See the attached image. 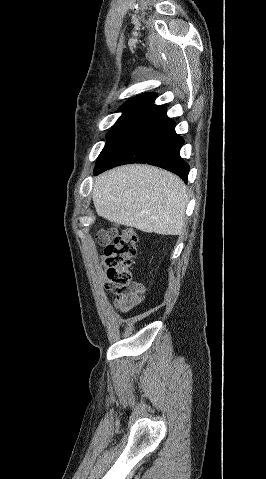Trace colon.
<instances>
[{"mask_svg": "<svg viewBox=\"0 0 266 479\" xmlns=\"http://www.w3.org/2000/svg\"><path fill=\"white\" fill-rule=\"evenodd\" d=\"M98 238L104 244L103 255L107 264V278L113 291H127L132 285L131 267L137 254V235L131 228L100 231Z\"/></svg>", "mask_w": 266, "mask_h": 479, "instance_id": "colon-1", "label": "colon"}]
</instances>
